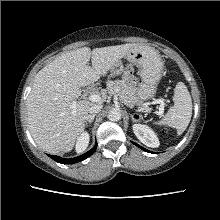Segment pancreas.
I'll list each match as a JSON object with an SVG mask.
<instances>
[{
  "instance_id": "cf45deb5",
  "label": "pancreas",
  "mask_w": 220,
  "mask_h": 220,
  "mask_svg": "<svg viewBox=\"0 0 220 220\" xmlns=\"http://www.w3.org/2000/svg\"><path fill=\"white\" fill-rule=\"evenodd\" d=\"M107 90L110 95L117 94L120 101L129 107L138 104L136 88L125 80L108 81Z\"/></svg>"
}]
</instances>
